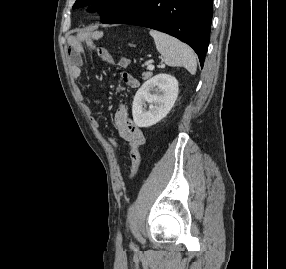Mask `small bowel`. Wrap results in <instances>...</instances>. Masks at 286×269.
<instances>
[{
    "label": "small bowel",
    "instance_id": "c3829d8e",
    "mask_svg": "<svg viewBox=\"0 0 286 269\" xmlns=\"http://www.w3.org/2000/svg\"><path fill=\"white\" fill-rule=\"evenodd\" d=\"M69 44L68 56L71 62L70 74L73 79H78L81 77L82 67L84 65L82 43L80 40L71 39ZM87 44L90 48L95 49L91 42ZM95 50L105 63L110 65L116 64L112 54L107 49L96 48ZM90 121L94 127H99V122L95 117L91 116ZM114 122L124 143L130 148L131 173L129 179L132 180L138 173L141 165L142 156L140 147L145 143V137L143 131L137 127L130 118L129 109L126 105L118 106L114 115Z\"/></svg>",
    "mask_w": 286,
    "mask_h": 269
}]
</instances>
